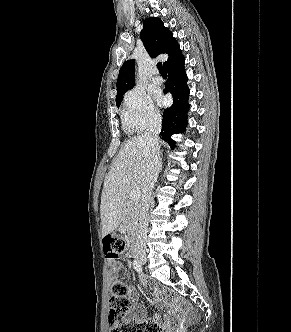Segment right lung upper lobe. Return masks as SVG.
I'll use <instances>...</instances> for the list:
<instances>
[{
	"mask_svg": "<svg viewBox=\"0 0 291 332\" xmlns=\"http://www.w3.org/2000/svg\"><path fill=\"white\" fill-rule=\"evenodd\" d=\"M140 37L152 58L160 54L168 55L167 61L163 64L165 69L183 56L173 34L169 29L164 27L159 18H147L143 23V30L140 33ZM134 70L133 60H128L122 65L117 80L116 102L121 101L125 92L135 85Z\"/></svg>",
	"mask_w": 291,
	"mask_h": 332,
	"instance_id": "1",
	"label": "right lung upper lobe"
}]
</instances>
